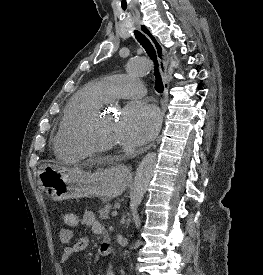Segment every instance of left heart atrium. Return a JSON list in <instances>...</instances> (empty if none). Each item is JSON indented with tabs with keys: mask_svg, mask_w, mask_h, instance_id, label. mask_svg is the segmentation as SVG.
Masks as SVG:
<instances>
[{
	"mask_svg": "<svg viewBox=\"0 0 263 275\" xmlns=\"http://www.w3.org/2000/svg\"><path fill=\"white\" fill-rule=\"evenodd\" d=\"M161 122L156 106L143 101H133L122 111L117 129L122 143L139 146L154 137Z\"/></svg>",
	"mask_w": 263,
	"mask_h": 275,
	"instance_id": "obj_1",
	"label": "left heart atrium"
}]
</instances>
